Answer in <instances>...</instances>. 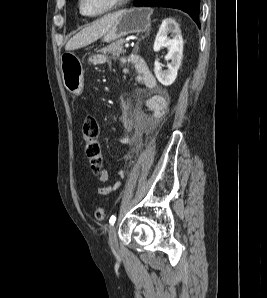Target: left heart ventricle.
<instances>
[{"label": "left heart ventricle", "mask_w": 267, "mask_h": 298, "mask_svg": "<svg viewBox=\"0 0 267 298\" xmlns=\"http://www.w3.org/2000/svg\"><path fill=\"white\" fill-rule=\"evenodd\" d=\"M114 0H84L83 9L88 14H96L109 7Z\"/></svg>", "instance_id": "obj_1"}]
</instances>
